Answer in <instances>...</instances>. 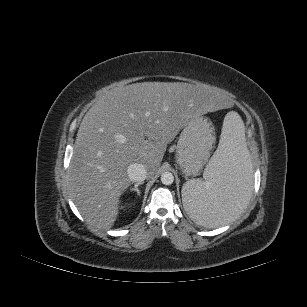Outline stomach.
<instances>
[{
    "instance_id": "stomach-1",
    "label": "stomach",
    "mask_w": 307,
    "mask_h": 307,
    "mask_svg": "<svg viewBox=\"0 0 307 307\" xmlns=\"http://www.w3.org/2000/svg\"><path fill=\"white\" fill-rule=\"evenodd\" d=\"M215 143L214 127L205 116L185 124L177 143L176 161L186 177L197 176L208 162Z\"/></svg>"
}]
</instances>
